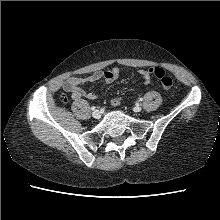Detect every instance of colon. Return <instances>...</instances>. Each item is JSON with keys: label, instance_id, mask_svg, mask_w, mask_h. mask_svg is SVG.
Here are the masks:
<instances>
[{"label": "colon", "instance_id": "obj_1", "mask_svg": "<svg viewBox=\"0 0 220 220\" xmlns=\"http://www.w3.org/2000/svg\"><path fill=\"white\" fill-rule=\"evenodd\" d=\"M146 71L150 77H155L159 80L163 89L168 90L172 87L173 81L171 77L168 76L163 69L158 67H149L148 69H146ZM117 99L120 100V98L112 99L111 103L113 106L119 105V101Z\"/></svg>", "mask_w": 220, "mask_h": 220}]
</instances>
